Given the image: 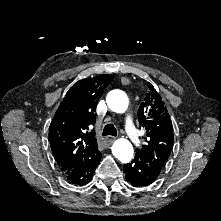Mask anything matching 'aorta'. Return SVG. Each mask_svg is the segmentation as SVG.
Here are the masks:
<instances>
[{"instance_id": "1", "label": "aorta", "mask_w": 221, "mask_h": 221, "mask_svg": "<svg viewBox=\"0 0 221 221\" xmlns=\"http://www.w3.org/2000/svg\"><path fill=\"white\" fill-rule=\"evenodd\" d=\"M108 107L116 113H124L129 105V100L125 92L112 90L106 97ZM133 146L127 140L120 138L113 143L112 153L122 163H128L133 157Z\"/></svg>"}]
</instances>
